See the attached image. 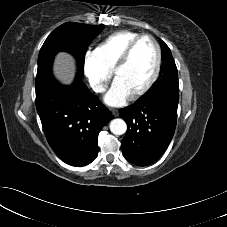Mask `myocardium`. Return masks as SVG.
I'll return each mask as SVG.
<instances>
[{
	"label": "myocardium",
	"instance_id": "f54148a6",
	"mask_svg": "<svg viewBox=\"0 0 227 227\" xmlns=\"http://www.w3.org/2000/svg\"><path fill=\"white\" fill-rule=\"evenodd\" d=\"M145 39L150 40L155 46L157 61H156L154 73L149 79V81L141 89L129 95V97L133 100L138 99L144 94H146L153 87V85L156 83V81L159 78L161 68H162V51L158 41L151 35H140L127 46L124 53L122 54V56L120 57V59L117 61V63L112 69V75H113V78L115 79L118 72L128 64L137 45Z\"/></svg>",
	"mask_w": 227,
	"mask_h": 227
}]
</instances>
